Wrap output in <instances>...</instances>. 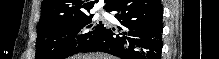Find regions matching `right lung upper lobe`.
<instances>
[{
  "instance_id": "right-lung-upper-lobe-1",
  "label": "right lung upper lobe",
  "mask_w": 219,
  "mask_h": 59,
  "mask_svg": "<svg viewBox=\"0 0 219 59\" xmlns=\"http://www.w3.org/2000/svg\"><path fill=\"white\" fill-rule=\"evenodd\" d=\"M95 2L93 0H43L38 27L50 21L86 14ZM105 2L107 4L104 9L108 11L114 0H106Z\"/></svg>"
}]
</instances>
